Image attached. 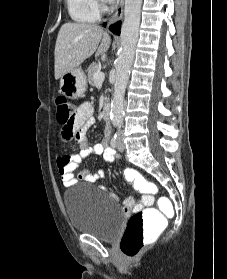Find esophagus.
Returning a JSON list of instances; mask_svg holds the SVG:
<instances>
[{"label": "esophagus", "instance_id": "34e87169", "mask_svg": "<svg viewBox=\"0 0 227 279\" xmlns=\"http://www.w3.org/2000/svg\"><path fill=\"white\" fill-rule=\"evenodd\" d=\"M124 4H125V0H121L117 6L116 11L114 12V14L112 15V17L110 18L109 22H108V27L110 25H112L113 23L119 21L122 18L123 15V9H124Z\"/></svg>", "mask_w": 227, "mask_h": 279}]
</instances>
